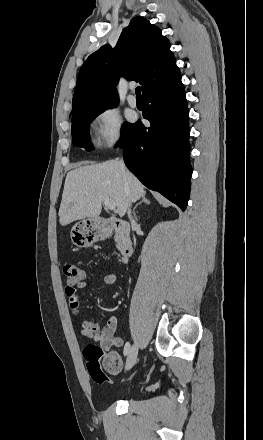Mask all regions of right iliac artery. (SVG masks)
<instances>
[{"label": "right iliac artery", "instance_id": "1", "mask_svg": "<svg viewBox=\"0 0 263 440\" xmlns=\"http://www.w3.org/2000/svg\"><path fill=\"white\" fill-rule=\"evenodd\" d=\"M130 351V343L126 342L125 346H124V355L126 356Z\"/></svg>", "mask_w": 263, "mask_h": 440}]
</instances>
